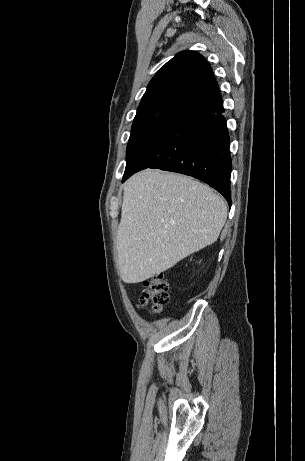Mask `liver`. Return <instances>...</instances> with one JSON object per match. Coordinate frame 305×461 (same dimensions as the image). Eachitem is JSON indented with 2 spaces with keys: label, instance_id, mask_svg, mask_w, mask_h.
I'll use <instances>...</instances> for the list:
<instances>
[{
  "label": "liver",
  "instance_id": "1",
  "mask_svg": "<svg viewBox=\"0 0 305 461\" xmlns=\"http://www.w3.org/2000/svg\"><path fill=\"white\" fill-rule=\"evenodd\" d=\"M227 219L223 198L187 176L148 169L124 186L117 231L125 283H139L213 244Z\"/></svg>",
  "mask_w": 305,
  "mask_h": 461
}]
</instances>
